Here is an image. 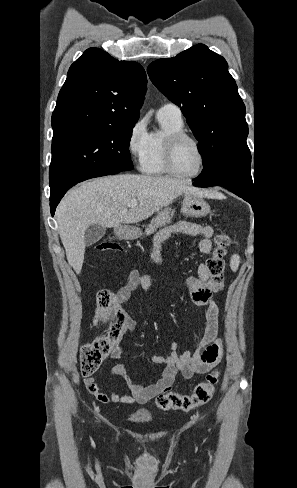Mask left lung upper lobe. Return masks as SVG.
I'll list each match as a JSON object with an SVG mask.
<instances>
[{
	"instance_id": "1",
	"label": "left lung upper lobe",
	"mask_w": 297,
	"mask_h": 488,
	"mask_svg": "<svg viewBox=\"0 0 297 488\" xmlns=\"http://www.w3.org/2000/svg\"><path fill=\"white\" fill-rule=\"evenodd\" d=\"M147 72L181 108L199 140L204 169L194 182L200 187L228 184L253 193L245 105L226 60L197 44L176 57L152 62Z\"/></svg>"
}]
</instances>
